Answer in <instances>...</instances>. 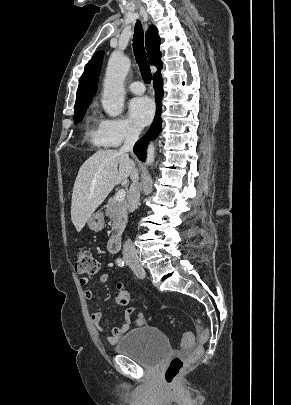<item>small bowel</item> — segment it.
<instances>
[{
    "mask_svg": "<svg viewBox=\"0 0 291 405\" xmlns=\"http://www.w3.org/2000/svg\"><path fill=\"white\" fill-rule=\"evenodd\" d=\"M108 274L102 273L99 276V283L104 284L108 281ZM80 284L83 286L88 285L89 279L87 277L80 278ZM85 299L90 301L94 297V293L92 290L88 289L84 292ZM135 313L134 308H127L125 310L124 318L125 321L120 326H114L111 330L110 334H106L105 339L109 344H115L130 328L131 325V316ZM103 321V313L102 312H95L91 315V323L95 328L98 334H102L104 329L102 327ZM145 323L144 315L141 312H138L135 317V324L136 326H142Z\"/></svg>",
    "mask_w": 291,
    "mask_h": 405,
    "instance_id": "small-bowel-1",
    "label": "small bowel"
}]
</instances>
